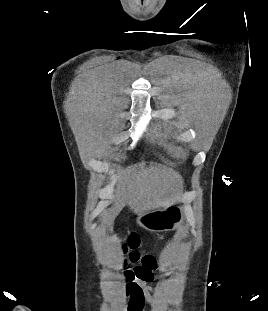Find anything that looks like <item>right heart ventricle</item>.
Masks as SVG:
<instances>
[{"label": "right heart ventricle", "instance_id": "1", "mask_svg": "<svg viewBox=\"0 0 268 311\" xmlns=\"http://www.w3.org/2000/svg\"><path fill=\"white\" fill-rule=\"evenodd\" d=\"M164 120H165V118H158L155 122V127L158 130L165 132L164 124H163ZM163 144L174 155H176V156L182 155V150L178 146H176L174 143L168 142V141H163Z\"/></svg>", "mask_w": 268, "mask_h": 311}]
</instances>
